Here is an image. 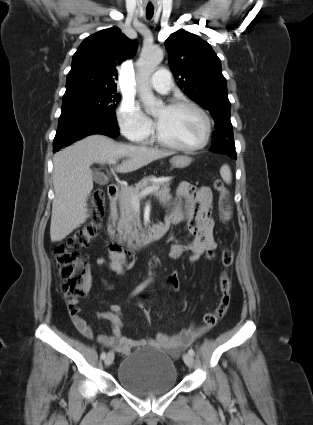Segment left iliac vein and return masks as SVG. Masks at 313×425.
Wrapping results in <instances>:
<instances>
[{
  "instance_id": "1",
  "label": "left iliac vein",
  "mask_w": 313,
  "mask_h": 425,
  "mask_svg": "<svg viewBox=\"0 0 313 425\" xmlns=\"http://www.w3.org/2000/svg\"><path fill=\"white\" fill-rule=\"evenodd\" d=\"M183 360L185 362V364L189 367H192L194 365V358L192 355L186 353L183 355Z\"/></svg>"
}]
</instances>
